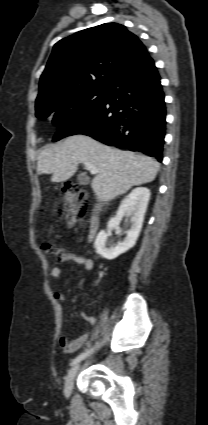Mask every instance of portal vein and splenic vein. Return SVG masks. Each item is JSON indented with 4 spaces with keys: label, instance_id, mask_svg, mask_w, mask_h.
I'll use <instances>...</instances> for the list:
<instances>
[{
    "label": "portal vein and splenic vein",
    "instance_id": "18ae733b",
    "mask_svg": "<svg viewBox=\"0 0 208 425\" xmlns=\"http://www.w3.org/2000/svg\"><path fill=\"white\" fill-rule=\"evenodd\" d=\"M86 169H88L90 171L91 174L95 175L97 173H99V169H97L93 164L89 163V162H85L84 163Z\"/></svg>",
    "mask_w": 208,
    "mask_h": 425
}]
</instances>
